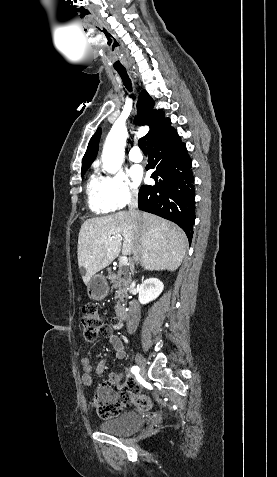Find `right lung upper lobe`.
I'll use <instances>...</instances> for the list:
<instances>
[{"label":"right lung upper lobe","instance_id":"right-lung-upper-lobe-1","mask_svg":"<svg viewBox=\"0 0 277 477\" xmlns=\"http://www.w3.org/2000/svg\"><path fill=\"white\" fill-rule=\"evenodd\" d=\"M153 107V99L146 90L141 91L137 109L140 117L139 124L150 127L149 132L146 134L148 145L161 139L172 129L170 119L164 117L162 110H153ZM100 135L101 129L99 128L89 141L87 151L82 160V169H88L94 161L98 152Z\"/></svg>","mask_w":277,"mask_h":477}]
</instances>
